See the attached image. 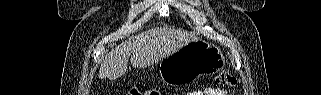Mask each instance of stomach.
Instances as JSON below:
<instances>
[{
    "label": "stomach",
    "instance_id": "obj_1",
    "mask_svg": "<svg viewBox=\"0 0 321 95\" xmlns=\"http://www.w3.org/2000/svg\"><path fill=\"white\" fill-rule=\"evenodd\" d=\"M224 66L221 49L213 43L197 39L165 57L159 64V72L165 83L177 85L205 74H214Z\"/></svg>",
    "mask_w": 321,
    "mask_h": 95
}]
</instances>
